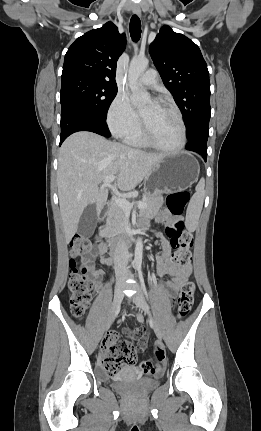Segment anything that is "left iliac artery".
I'll return each mask as SVG.
<instances>
[{"label":"left iliac artery","mask_w":261,"mask_h":431,"mask_svg":"<svg viewBox=\"0 0 261 431\" xmlns=\"http://www.w3.org/2000/svg\"><path fill=\"white\" fill-rule=\"evenodd\" d=\"M138 275H139V279H140V283H141L143 292H144V294H145V296H146V298L148 300L149 297H148V293H147V290H146V287H145V283H144V279H143L141 268H138Z\"/></svg>","instance_id":"1"}]
</instances>
